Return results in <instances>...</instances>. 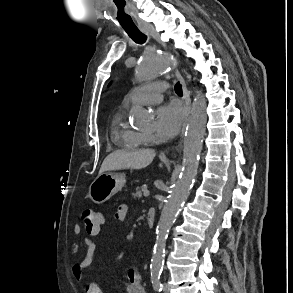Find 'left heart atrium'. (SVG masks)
I'll return each instance as SVG.
<instances>
[{
  "label": "left heart atrium",
  "instance_id": "obj_1",
  "mask_svg": "<svg viewBox=\"0 0 293 293\" xmlns=\"http://www.w3.org/2000/svg\"><path fill=\"white\" fill-rule=\"evenodd\" d=\"M185 118V109L178 102L160 106L156 111V132L162 138L177 134Z\"/></svg>",
  "mask_w": 293,
  "mask_h": 293
}]
</instances>
